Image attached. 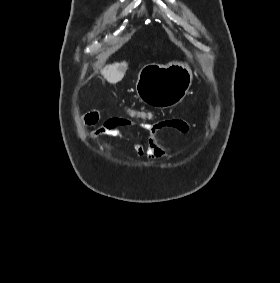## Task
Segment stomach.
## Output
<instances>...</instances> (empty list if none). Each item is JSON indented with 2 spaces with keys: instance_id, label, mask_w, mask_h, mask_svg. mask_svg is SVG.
Wrapping results in <instances>:
<instances>
[{
  "instance_id": "0dacf381",
  "label": "stomach",
  "mask_w": 280,
  "mask_h": 283,
  "mask_svg": "<svg viewBox=\"0 0 280 283\" xmlns=\"http://www.w3.org/2000/svg\"><path fill=\"white\" fill-rule=\"evenodd\" d=\"M192 78L191 68L186 62L151 63L139 71L136 92L139 99L148 105L169 108L184 99Z\"/></svg>"
}]
</instances>
